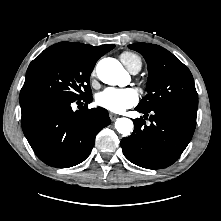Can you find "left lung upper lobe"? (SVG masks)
I'll return each instance as SVG.
<instances>
[{"label":"left lung upper lobe","mask_w":221,"mask_h":221,"mask_svg":"<svg viewBox=\"0 0 221 221\" xmlns=\"http://www.w3.org/2000/svg\"><path fill=\"white\" fill-rule=\"evenodd\" d=\"M139 52L148 64V94L138 108L178 105L197 109L198 94L190 70L168 50L155 44L136 43L128 46Z\"/></svg>","instance_id":"obj_1"}]
</instances>
